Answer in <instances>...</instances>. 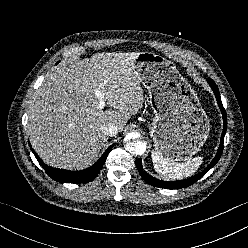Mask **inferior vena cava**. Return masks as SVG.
<instances>
[{"instance_id":"inferior-vena-cava-1","label":"inferior vena cava","mask_w":248,"mask_h":248,"mask_svg":"<svg viewBox=\"0 0 248 248\" xmlns=\"http://www.w3.org/2000/svg\"><path fill=\"white\" fill-rule=\"evenodd\" d=\"M101 130L104 134L108 136H115L118 133V127L113 124H107L101 127Z\"/></svg>"}]
</instances>
